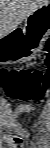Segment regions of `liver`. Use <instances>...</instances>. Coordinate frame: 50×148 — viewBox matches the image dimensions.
Here are the masks:
<instances>
[{
    "mask_svg": "<svg viewBox=\"0 0 50 148\" xmlns=\"http://www.w3.org/2000/svg\"><path fill=\"white\" fill-rule=\"evenodd\" d=\"M48 0H1L0 35L5 37L37 9L48 5Z\"/></svg>",
    "mask_w": 50,
    "mask_h": 148,
    "instance_id": "6515ba94",
    "label": "liver"
}]
</instances>
